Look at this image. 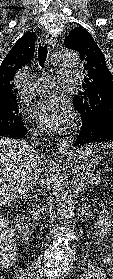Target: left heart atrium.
Instances as JSON below:
<instances>
[{"mask_svg":"<svg viewBox=\"0 0 113 279\" xmlns=\"http://www.w3.org/2000/svg\"><path fill=\"white\" fill-rule=\"evenodd\" d=\"M35 114L42 127L50 131H60L72 121L70 105L57 96H48L40 101Z\"/></svg>","mask_w":113,"mask_h":279,"instance_id":"39dd6f15","label":"left heart atrium"}]
</instances>
